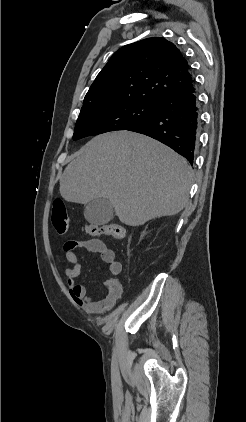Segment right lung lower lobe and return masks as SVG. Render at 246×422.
Instances as JSON below:
<instances>
[{
    "label": "right lung lower lobe",
    "instance_id": "right-lung-lower-lobe-1",
    "mask_svg": "<svg viewBox=\"0 0 246 422\" xmlns=\"http://www.w3.org/2000/svg\"><path fill=\"white\" fill-rule=\"evenodd\" d=\"M200 129L195 86L156 103L153 117L127 130L152 137L171 147L192 165Z\"/></svg>",
    "mask_w": 246,
    "mask_h": 422
}]
</instances>
